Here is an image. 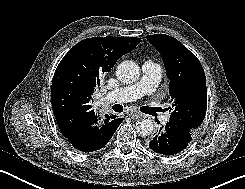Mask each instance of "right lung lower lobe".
<instances>
[{
  "label": "right lung lower lobe",
  "instance_id": "98d812e1",
  "mask_svg": "<svg viewBox=\"0 0 245 189\" xmlns=\"http://www.w3.org/2000/svg\"><path fill=\"white\" fill-rule=\"evenodd\" d=\"M123 121V118L95 115L93 123L86 130L67 136L69 143L79 151L93 152L103 148Z\"/></svg>",
  "mask_w": 245,
  "mask_h": 189
}]
</instances>
